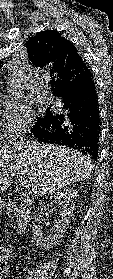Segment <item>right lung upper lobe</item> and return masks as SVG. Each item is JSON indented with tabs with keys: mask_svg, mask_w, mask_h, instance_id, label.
Segmentation results:
<instances>
[{
	"mask_svg": "<svg viewBox=\"0 0 113 279\" xmlns=\"http://www.w3.org/2000/svg\"><path fill=\"white\" fill-rule=\"evenodd\" d=\"M26 48L32 64L52 78L50 83L56 96L75 88L90 72L73 43L57 31L37 33L28 40Z\"/></svg>",
	"mask_w": 113,
	"mask_h": 279,
	"instance_id": "1",
	"label": "right lung upper lobe"
}]
</instances>
